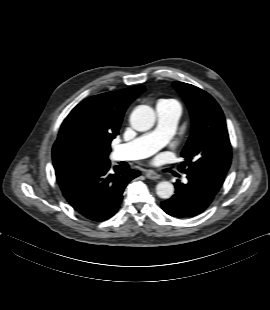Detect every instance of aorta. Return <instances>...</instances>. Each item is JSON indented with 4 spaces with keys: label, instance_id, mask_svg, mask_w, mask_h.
<instances>
[{
    "label": "aorta",
    "instance_id": "obj_1",
    "mask_svg": "<svg viewBox=\"0 0 270 310\" xmlns=\"http://www.w3.org/2000/svg\"><path fill=\"white\" fill-rule=\"evenodd\" d=\"M154 123L155 113L149 106H138L130 115V124L137 131H147ZM156 194L162 199H169L174 194V186L168 181L159 182L156 186Z\"/></svg>",
    "mask_w": 270,
    "mask_h": 310
}]
</instances>
